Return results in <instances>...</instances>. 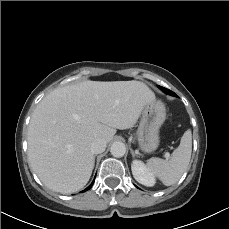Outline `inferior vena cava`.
I'll list each match as a JSON object with an SVG mask.
<instances>
[{"mask_svg":"<svg viewBox=\"0 0 229 229\" xmlns=\"http://www.w3.org/2000/svg\"><path fill=\"white\" fill-rule=\"evenodd\" d=\"M107 142L102 138H96L91 143V151L94 154H99L105 151Z\"/></svg>","mask_w":229,"mask_h":229,"instance_id":"inferior-vena-cava-1","label":"inferior vena cava"}]
</instances>
